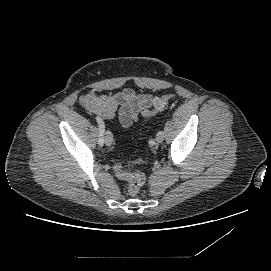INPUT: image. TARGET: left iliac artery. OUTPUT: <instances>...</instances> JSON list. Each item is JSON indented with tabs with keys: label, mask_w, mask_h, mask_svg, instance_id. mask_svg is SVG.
<instances>
[{
	"label": "left iliac artery",
	"mask_w": 271,
	"mask_h": 271,
	"mask_svg": "<svg viewBox=\"0 0 271 271\" xmlns=\"http://www.w3.org/2000/svg\"><path fill=\"white\" fill-rule=\"evenodd\" d=\"M154 144H155V140H154V139H151V140L149 141V145L153 146Z\"/></svg>",
	"instance_id": "44dca946"
}]
</instances>
